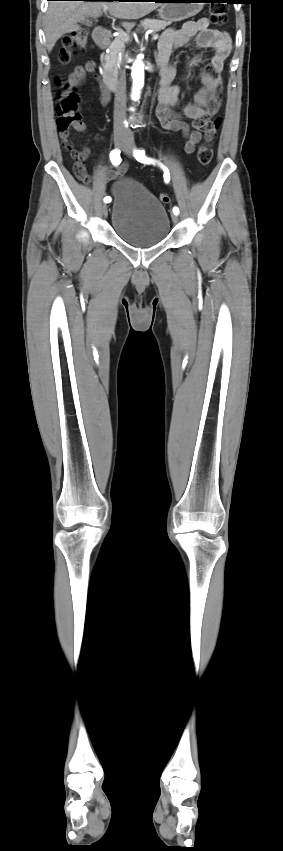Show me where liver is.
Segmentation results:
<instances>
[{
	"label": "liver",
	"instance_id": "1",
	"mask_svg": "<svg viewBox=\"0 0 283 851\" xmlns=\"http://www.w3.org/2000/svg\"><path fill=\"white\" fill-rule=\"evenodd\" d=\"M159 6V2L51 1L44 17L47 50L50 52L64 34L78 31V22L87 17H99L104 7H108L113 17L132 20L146 16ZM123 26L130 29L133 24L125 22Z\"/></svg>",
	"mask_w": 283,
	"mask_h": 851
}]
</instances>
